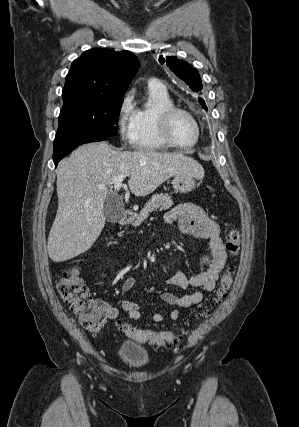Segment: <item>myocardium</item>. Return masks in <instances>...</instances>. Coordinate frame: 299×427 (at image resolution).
Segmentation results:
<instances>
[{"mask_svg":"<svg viewBox=\"0 0 299 427\" xmlns=\"http://www.w3.org/2000/svg\"><path fill=\"white\" fill-rule=\"evenodd\" d=\"M177 113H182V114L187 115L188 117H190L192 119V121L195 124L196 137H195V140L191 144H188V145L178 144L173 140V138L171 136L170 120ZM157 122H158V129H159L160 136L162 137L163 141L169 147L177 148V149H189V148L194 147L200 139L201 126H200L199 121L190 111H188L187 109H184L182 107L172 105V106H168V107L161 109L157 115Z\"/></svg>","mask_w":299,"mask_h":427,"instance_id":"1","label":"myocardium"}]
</instances>
